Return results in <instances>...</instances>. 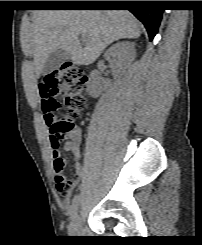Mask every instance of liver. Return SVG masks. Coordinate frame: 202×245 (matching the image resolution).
<instances>
[{"label":"liver","mask_w":202,"mask_h":245,"mask_svg":"<svg viewBox=\"0 0 202 245\" xmlns=\"http://www.w3.org/2000/svg\"><path fill=\"white\" fill-rule=\"evenodd\" d=\"M86 37L85 47L79 35ZM139 23L127 10H36L21 32L24 52L33 53L38 74L51 53L61 49L76 65L92 64L112 42L134 39Z\"/></svg>","instance_id":"liver-1"}]
</instances>
